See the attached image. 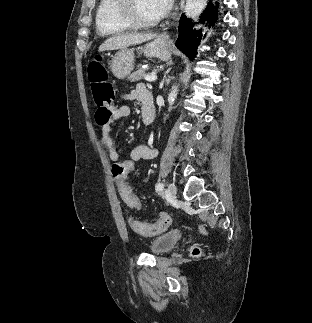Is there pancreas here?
Here are the masks:
<instances>
[{
  "mask_svg": "<svg viewBox=\"0 0 312 323\" xmlns=\"http://www.w3.org/2000/svg\"><path fill=\"white\" fill-rule=\"evenodd\" d=\"M146 76H148V74H146L145 70L140 68V70H137V72H132L128 80H130V82H139V80H143V78H146Z\"/></svg>",
  "mask_w": 312,
  "mask_h": 323,
  "instance_id": "obj_1",
  "label": "pancreas"
}]
</instances>
